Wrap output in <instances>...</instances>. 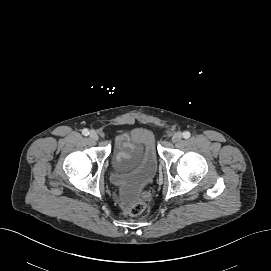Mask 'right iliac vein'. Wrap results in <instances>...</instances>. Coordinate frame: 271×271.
Returning a JSON list of instances; mask_svg holds the SVG:
<instances>
[{
	"label": "right iliac vein",
	"mask_w": 271,
	"mask_h": 271,
	"mask_svg": "<svg viewBox=\"0 0 271 271\" xmlns=\"http://www.w3.org/2000/svg\"><path fill=\"white\" fill-rule=\"evenodd\" d=\"M89 137L93 141H97L98 138H99L98 133L96 131H94V130L90 131Z\"/></svg>",
	"instance_id": "right-iliac-vein-1"
}]
</instances>
